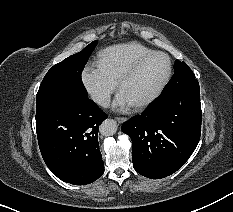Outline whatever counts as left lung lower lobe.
<instances>
[{"instance_id": "obj_1", "label": "left lung lower lobe", "mask_w": 233, "mask_h": 212, "mask_svg": "<svg viewBox=\"0 0 233 212\" xmlns=\"http://www.w3.org/2000/svg\"><path fill=\"white\" fill-rule=\"evenodd\" d=\"M121 129L132 140V161L138 173L151 179L173 174L189 159L200 139L198 81L184 80L163 91Z\"/></svg>"}]
</instances>
